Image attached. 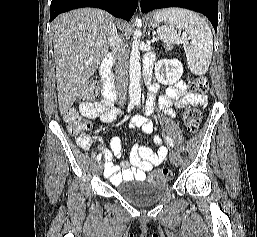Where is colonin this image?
I'll return each mask as SVG.
<instances>
[{"mask_svg": "<svg viewBox=\"0 0 257 237\" xmlns=\"http://www.w3.org/2000/svg\"><path fill=\"white\" fill-rule=\"evenodd\" d=\"M209 80L205 75L195 77L190 88L194 92L205 93L208 90ZM83 99L93 100L98 96V84L92 81L83 92ZM65 120L68 123L69 132L72 135H78L82 131L91 129V123L85 118H82L75 109H69L65 113ZM202 121L201 112L193 107H187L184 112V122L188 132L195 133ZM171 177L169 169L161 168L153 171L149 176V181L160 182L166 181Z\"/></svg>", "mask_w": 257, "mask_h": 237, "instance_id": "colon-1", "label": "colon"}]
</instances>
